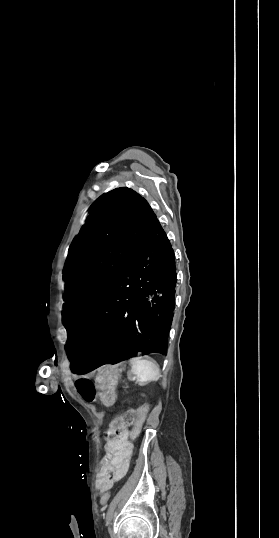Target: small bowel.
I'll list each match as a JSON object with an SVG mask.
<instances>
[{
  "label": "small bowel",
  "instance_id": "1",
  "mask_svg": "<svg viewBox=\"0 0 279 538\" xmlns=\"http://www.w3.org/2000/svg\"><path fill=\"white\" fill-rule=\"evenodd\" d=\"M76 388L84 400L87 402L95 401L96 393L88 381L78 380ZM112 448L110 473L105 480L97 481V487L102 492L110 489L113 483L122 479L128 471L133 451V444L129 441V432L123 431Z\"/></svg>",
  "mask_w": 279,
  "mask_h": 538
}]
</instances>
